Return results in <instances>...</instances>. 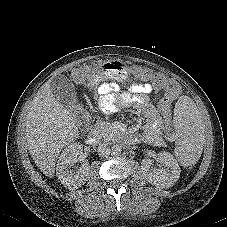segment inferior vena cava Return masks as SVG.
<instances>
[{"label": "inferior vena cava", "mask_w": 227, "mask_h": 227, "mask_svg": "<svg viewBox=\"0 0 227 227\" xmlns=\"http://www.w3.org/2000/svg\"><path fill=\"white\" fill-rule=\"evenodd\" d=\"M97 152L100 156L106 157L110 155L111 149L107 143H100L97 147Z\"/></svg>", "instance_id": "inferior-vena-cava-1"}]
</instances>
